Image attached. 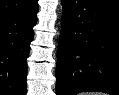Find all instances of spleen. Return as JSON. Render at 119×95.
Segmentation results:
<instances>
[{
    "label": "spleen",
    "instance_id": "3e777b00",
    "mask_svg": "<svg viewBox=\"0 0 119 95\" xmlns=\"http://www.w3.org/2000/svg\"><path fill=\"white\" fill-rule=\"evenodd\" d=\"M80 95H105L104 93H82Z\"/></svg>",
    "mask_w": 119,
    "mask_h": 95
}]
</instances>
